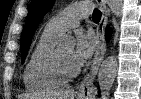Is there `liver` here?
Instances as JSON below:
<instances>
[{"label":"liver","instance_id":"obj_1","mask_svg":"<svg viewBox=\"0 0 141 99\" xmlns=\"http://www.w3.org/2000/svg\"><path fill=\"white\" fill-rule=\"evenodd\" d=\"M18 99H74L73 90H60L46 94H21Z\"/></svg>","mask_w":141,"mask_h":99}]
</instances>
